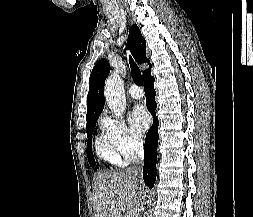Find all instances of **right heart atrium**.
I'll return each instance as SVG.
<instances>
[{
    "instance_id": "1",
    "label": "right heart atrium",
    "mask_w": 253,
    "mask_h": 217,
    "mask_svg": "<svg viewBox=\"0 0 253 217\" xmlns=\"http://www.w3.org/2000/svg\"><path fill=\"white\" fill-rule=\"evenodd\" d=\"M100 126L126 161L133 159L141 151L143 146L141 135L123 119L104 114L100 119Z\"/></svg>"
}]
</instances>
